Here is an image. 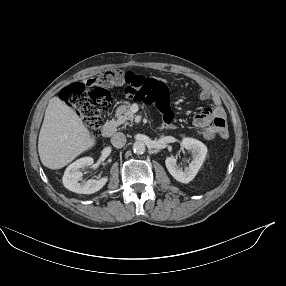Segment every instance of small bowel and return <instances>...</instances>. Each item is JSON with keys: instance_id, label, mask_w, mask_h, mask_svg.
<instances>
[{"instance_id": "small-bowel-1", "label": "small bowel", "mask_w": 286, "mask_h": 286, "mask_svg": "<svg viewBox=\"0 0 286 286\" xmlns=\"http://www.w3.org/2000/svg\"><path fill=\"white\" fill-rule=\"evenodd\" d=\"M117 75L115 78L111 79L109 81L110 84H122L125 82L124 74L123 72H116ZM199 96L203 100H211L215 107L214 108H206L201 110L196 116H195V123L199 126L198 119H204L209 116H214L219 118L226 128V120H225V111L223 107L221 106V98L218 93L213 91L210 86L204 83L199 84ZM122 107L118 109L114 114V119L117 122H122L127 116L128 111L133 107V102L130 99H125L122 102ZM163 129H168L171 127L170 121L164 120V123L161 126ZM227 129V128H226Z\"/></svg>"}]
</instances>
